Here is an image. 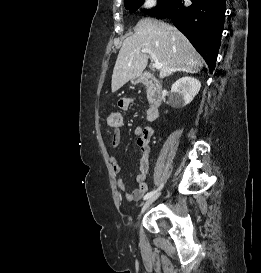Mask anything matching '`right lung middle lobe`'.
<instances>
[{
    "label": "right lung middle lobe",
    "instance_id": "dd1d6c3e",
    "mask_svg": "<svg viewBox=\"0 0 261 273\" xmlns=\"http://www.w3.org/2000/svg\"><path fill=\"white\" fill-rule=\"evenodd\" d=\"M173 0H158V6L153 10H143L144 13L148 15H154L167 5H169ZM144 0H124L125 8L128 9L131 13L135 12L137 9L141 7Z\"/></svg>",
    "mask_w": 261,
    "mask_h": 273
}]
</instances>
